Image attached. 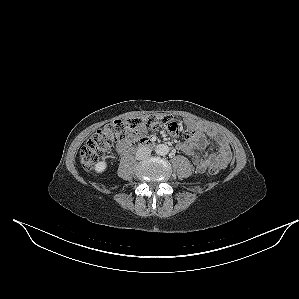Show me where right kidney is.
<instances>
[{
	"instance_id": "obj_1",
	"label": "right kidney",
	"mask_w": 299,
	"mask_h": 299,
	"mask_svg": "<svg viewBox=\"0 0 299 299\" xmlns=\"http://www.w3.org/2000/svg\"><path fill=\"white\" fill-rule=\"evenodd\" d=\"M106 168H107V163L105 161H100L95 165L94 170L97 173H102L106 170Z\"/></svg>"
}]
</instances>
